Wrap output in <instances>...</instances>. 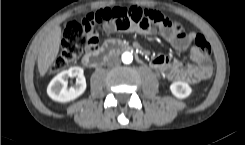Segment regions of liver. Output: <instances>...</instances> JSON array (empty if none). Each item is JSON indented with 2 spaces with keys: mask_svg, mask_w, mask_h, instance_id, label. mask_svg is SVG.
<instances>
[{
  "mask_svg": "<svg viewBox=\"0 0 245 145\" xmlns=\"http://www.w3.org/2000/svg\"><path fill=\"white\" fill-rule=\"evenodd\" d=\"M61 44V27H54L44 38L37 59L40 76H44L56 60Z\"/></svg>",
  "mask_w": 245,
  "mask_h": 145,
  "instance_id": "liver-1",
  "label": "liver"
}]
</instances>
